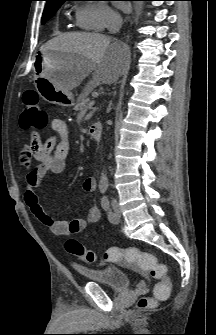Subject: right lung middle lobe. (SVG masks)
Instances as JSON below:
<instances>
[{
  "instance_id": "right-lung-middle-lobe-1",
  "label": "right lung middle lobe",
  "mask_w": 216,
  "mask_h": 335,
  "mask_svg": "<svg viewBox=\"0 0 216 335\" xmlns=\"http://www.w3.org/2000/svg\"><path fill=\"white\" fill-rule=\"evenodd\" d=\"M61 5L62 3H57V4L45 6L43 16H42V24L48 21L53 16V14L59 9Z\"/></svg>"
}]
</instances>
